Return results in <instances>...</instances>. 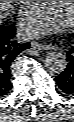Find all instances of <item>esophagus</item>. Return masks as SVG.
Returning <instances> with one entry per match:
<instances>
[{
    "label": "esophagus",
    "mask_w": 74,
    "mask_h": 122,
    "mask_svg": "<svg viewBox=\"0 0 74 122\" xmlns=\"http://www.w3.org/2000/svg\"><path fill=\"white\" fill-rule=\"evenodd\" d=\"M32 50L39 51V50H48L50 47L47 45L40 44L38 42H32L31 43Z\"/></svg>",
    "instance_id": "esophagus-1"
}]
</instances>
